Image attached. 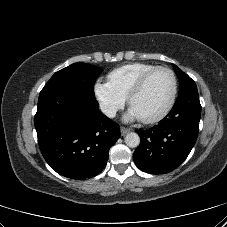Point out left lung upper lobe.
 <instances>
[{
  "mask_svg": "<svg viewBox=\"0 0 227 227\" xmlns=\"http://www.w3.org/2000/svg\"><path fill=\"white\" fill-rule=\"evenodd\" d=\"M172 65L180 83L179 96L190 90H197V86L195 82L186 73H184L181 69H179L176 65L174 64Z\"/></svg>",
  "mask_w": 227,
  "mask_h": 227,
  "instance_id": "obj_1",
  "label": "left lung upper lobe"
}]
</instances>
